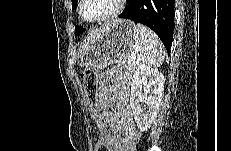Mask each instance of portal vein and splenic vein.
I'll return each instance as SVG.
<instances>
[{"instance_id": "obj_1", "label": "portal vein and splenic vein", "mask_w": 231, "mask_h": 151, "mask_svg": "<svg viewBox=\"0 0 231 151\" xmlns=\"http://www.w3.org/2000/svg\"><path fill=\"white\" fill-rule=\"evenodd\" d=\"M135 60V54H130V56L128 57L127 59V62L130 63V62H133Z\"/></svg>"}]
</instances>
